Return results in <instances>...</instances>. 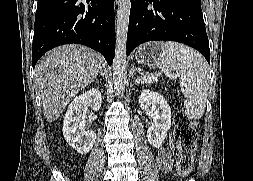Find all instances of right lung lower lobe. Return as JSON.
<instances>
[{"mask_svg":"<svg viewBox=\"0 0 253 181\" xmlns=\"http://www.w3.org/2000/svg\"><path fill=\"white\" fill-rule=\"evenodd\" d=\"M86 45L111 65L115 52L114 0H38L32 65L63 44Z\"/></svg>","mask_w":253,"mask_h":181,"instance_id":"1","label":"right lung lower lobe"}]
</instances>
